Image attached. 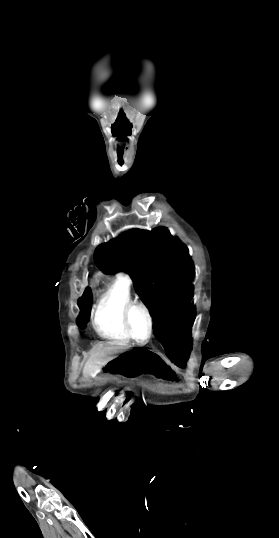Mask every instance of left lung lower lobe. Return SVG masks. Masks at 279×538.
Here are the masks:
<instances>
[{"mask_svg": "<svg viewBox=\"0 0 279 538\" xmlns=\"http://www.w3.org/2000/svg\"><path fill=\"white\" fill-rule=\"evenodd\" d=\"M166 350V355L179 367H184L188 360L191 344L187 342L190 333L159 332L154 333Z\"/></svg>", "mask_w": 279, "mask_h": 538, "instance_id": "left-lung-lower-lobe-1", "label": "left lung lower lobe"}]
</instances>
